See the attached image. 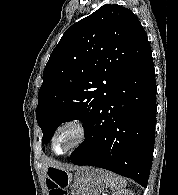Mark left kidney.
Segmentation results:
<instances>
[{
    "mask_svg": "<svg viewBox=\"0 0 178 195\" xmlns=\"http://www.w3.org/2000/svg\"><path fill=\"white\" fill-rule=\"evenodd\" d=\"M112 195H134V193L130 190H120Z\"/></svg>",
    "mask_w": 178,
    "mask_h": 195,
    "instance_id": "obj_1",
    "label": "left kidney"
}]
</instances>
